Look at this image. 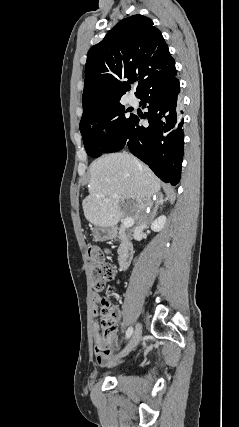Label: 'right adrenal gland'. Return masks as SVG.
<instances>
[{
    "label": "right adrenal gland",
    "instance_id": "2a0ac1e0",
    "mask_svg": "<svg viewBox=\"0 0 239 427\" xmlns=\"http://www.w3.org/2000/svg\"><path fill=\"white\" fill-rule=\"evenodd\" d=\"M160 197L162 198V195H160ZM157 207H158V204H156V209L155 210H157Z\"/></svg>",
    "mask_w": 239,
    "mask_h": 427
}]
</instances>
